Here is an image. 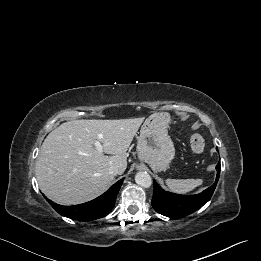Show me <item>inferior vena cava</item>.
<instances>
[{
  "mask_svg": "<svg viewBox=\"0 0 261 261\" xmlns=\"http://www.w3.org/2000/svg\"><path fill=\"white\" fill-rule=\"evenodd\" d=\"M108 172H109V174L115 176V175L120 174L121 170H120V168L118 166L113 165V166L109 167Z\"/></svg>",
  "mask_w": 261,
  "mask_h": 261,
  "instance_id": "602c4592",
  "label": "inferior vena cava"
}]
</instances>
